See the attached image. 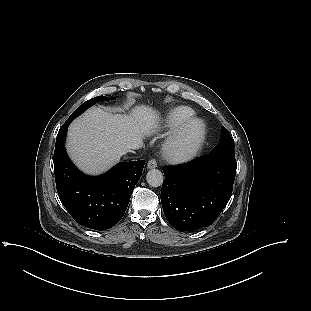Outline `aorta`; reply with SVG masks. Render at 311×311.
Masks as SVG:
<instances>
[{
    "instance_id": "1",
    "label": "aorta",
    "mask_w": 311,
    "mask_h": 311,
    "mask_svg": "<svg viewBox=\"0 0 311 311\" xmlns=\"http://www.w3.org/2000/svg\"><path fill=\"white\" fill-rule=\"evenodd\" d=\"M146 180L149 186L151 187H159L162 185L164 181L163 174L158 169H151L148 171L146 175Z\"/></svg>"
}]
</instances>
